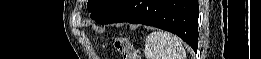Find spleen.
I'll list each match as a JSON object with an SVG mask.
<instances>
[{
  "mask_svg": "<svg viewBox=\"0 0 261 59\" xmlns=\"http://www.w3.org/2000/svg\"><path fill=\"white\" fill-rule=\"evenodd\" d=\"M148 59H185L186 51L182 41L175 35L155 31L148 34L145 43Z\"/></svg>",
  "mask_w": 261,
  "mask_h": 59,
  "instance_id": "spleen-1",
  "label": "spleen"
}]
</instances>
